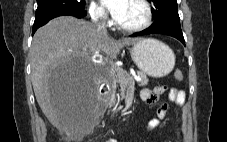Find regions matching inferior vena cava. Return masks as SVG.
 I'll return each mask as SVG.
<instances>
[{
	"label": "inferior vena cava",
	"mask_w": 227,
	"mask_h": 142,
	"mask_svg": "<svg viewBox=\"0 0 227 142\" xmlns=\"http://www.w3.org/2000/svg\"><path fill=\"white\" fill-rule=\"evenodd\" d=\"M91 23L97 28L98 31L102 33H107L105 27L104 13L102 11H96L93 13Z\"/></svg>",
	"instance_id": "obj_1"
}]
</instances>
